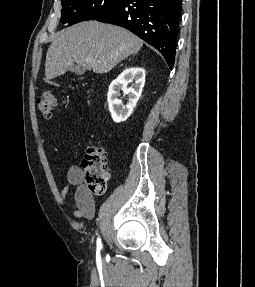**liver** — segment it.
I'll list each match as a JSON object with an SVG mask.
<instances>
[{
	"mask_svg": "<svg viewBox=\"0 0 255 287\" xmlns=\"http://www.w3.org/2000/svg\"><path fill=\"white\" fill-rule=\"evenodd\" d=\"M142 46L143 40L119 26L80 22L55 34L46 54L45 78L49 82L63 76L74 64L106 74Z\"/></svg>",
	"mask_w": 255,
	"mask_h": 287,
	"instance_id": "obj_1",
	"label": "liver"
}]
</instances>
